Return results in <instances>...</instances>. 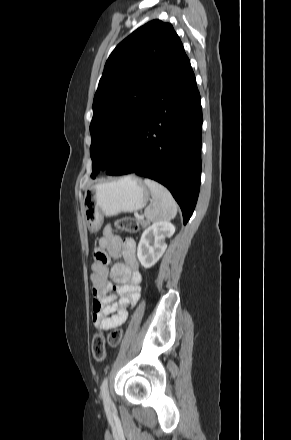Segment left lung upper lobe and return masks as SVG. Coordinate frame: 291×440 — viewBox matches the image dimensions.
<instances>
[{
    "label": "left lung upper lobe",
    "mask_w": 291,
    "mask_h": 440,
    "mask_svg": "<svg viewBox=\"0 0 291 440\" xmlns=\"http://www.w3.org/2000/svg\"><path fill=\"white\" fill-rule=\"evenodd\" d=\"M185 55L172 25L160 20L138 28L113 50L93 101L92 178L119 155L150 100Z\"/></svg>",
    "instance_id": "obj_1"
}]
</instances>
